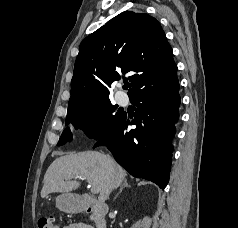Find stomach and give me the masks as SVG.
Instances as JSON below:
<instances>
[{"label": "stomach", "instance_id": "0dacf381", "mask_svg": "<svg viewBox=\"0 0 238 228\" xmlns=\"http://www.w3.org/2000/svg\"><path fill=\"white\" fill-rule=\"evenodd\" d=\"M55 201L56 207L64 212L73 213L82 209L81 201L72 193L64 192L57 196Z\"/></svg>", "mask_w": 238, "mask_h": 228}]
</instances>
